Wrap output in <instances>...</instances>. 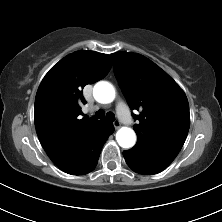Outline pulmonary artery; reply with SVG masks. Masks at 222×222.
Returning <instances> with one entry per match:
<instances>
[{
	"label": "pulmonary artery",
	"instance_id": "1",
	"mask_svg": "<svg viewBox=\"0 0 222 222\" xmlns=\"http://www.w3.org/2000/svg\"><path fill=\"white\" fill-rule=\"evenodd\" d=\"M124 108H125V104H124L122 101L118 102V104H117V110H118L119 112H121Z\"/></svg>",
	"mask_w": 222,
	"mask_h": 222
}]
</instances>
